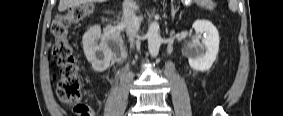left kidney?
I'll use <instances>...</instances> for the list:
<instances>
[{
    "instance_id": "5707ae66",
    "label": "left kidney",
    "mask_w": 283,
    "mask_h": 116,
    "mask_svg": "<svg viewBox=\"0 0 283 116\" xmlns=\"http://www.w3.org/2000/svg\"><path fill=\"white\" fill-rule=\"evenodd\" d=\"M192 27L202 35V42L190 43L186 49L189 65L196 71H208L216 60L219 50V33L207 20H196ZM205 50V51H204Z\"/></svg>"
}]
</instances>
